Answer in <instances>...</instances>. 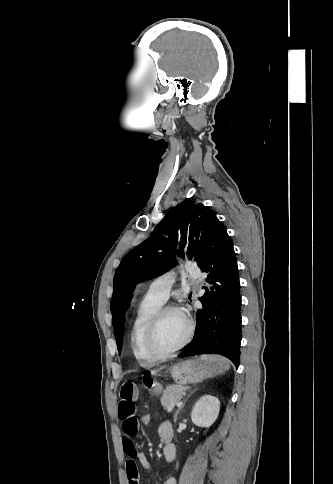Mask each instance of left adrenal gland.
Segmentation results:
<instances>
[{
    "instance_id": "a2214340",
    "label": "left adrenal gland",
    "mask_w": 333,
    "mask_h": 484,
    "mask_svg": "<svg viewBox=\"0 0 333 484\" xmlns=\"http://www.w3.org/2000/svg\"><path fill=\"white\" fill-rule=\"evenodd\" d=\"M185 402H186V401H185ZM185 402H184V403L182 404V406H181V407H180V408H179V409L176 411V413H175V415H174V421H176V420H177V415H178V413L180 412V410H181V409L184 407Z\"/></svg>"
}]
</instances>
